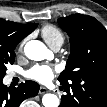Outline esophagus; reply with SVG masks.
<instances>
[{
  "mask_svg": "<svg viewBox=\"0 0 107 107\" xmlns=\"http://www.w3.org/2000/svg\"><path fill=\"white\" fill-rule=\"evenodd\" d=\"M47 92H48V90L45 87H43V86L40 87V89H39V94L40 95H43V94H45Z\"/></svg>",
  "mask_w": 107,
  "mask_h": 107,
  "instance_id": "esophagus-1",
  "label": "esophagus"
}]
</instances>
